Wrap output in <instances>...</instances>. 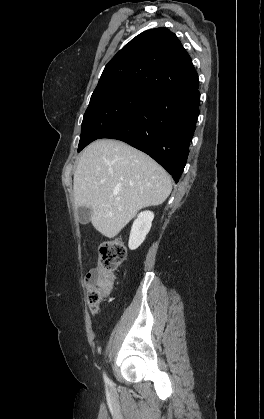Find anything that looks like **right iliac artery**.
<instances>
[{
  "label": "right iliac artery",
  "instance_id": "obj_1",
  "mask_svg": "<svg viewBox=\"0 0 264 419\" xmlns=\"http://www.w3.org/2000/svg\"><path fill=\"white\" fill-rule=\"evenodd\" d=\"M104 381L106 384H111L107 376L104 374Z\"/></svg>",
  "mask_w": 264,
  "mask_h": 419
}]
</instances>
